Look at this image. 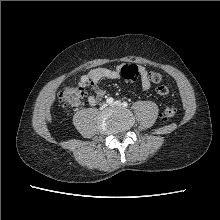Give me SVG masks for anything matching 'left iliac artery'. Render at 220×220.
<instances>
[{"label":"left iliac artery","instance_id":"44dca946","mask_svg":"<svg viewBox=\"0 0 220 220\" xmlns=\"http://www.w3.org/2000/svg\"><path fill=\"white\" fill-rule=\"evenodd\" d=\"M122 105H123L124 107H127V106H128V103H127V102H123Z\"/></svg>","mask_w":220,"mask_h":220}]
</instances>
